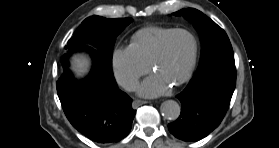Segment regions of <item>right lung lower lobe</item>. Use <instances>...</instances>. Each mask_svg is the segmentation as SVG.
Listing matches in <instances>:
<instances>
[{
  "instance_id": "1",
  "label": "right lung lower lobe",
  "mask_w": 279,
  "mask_h": 148,
  "mask_svg": "<svg viewBox=\"0 0 279 148\" xmlns=\"http://www.w3.org/2000/svg\"><path fill=\"white\" fill-rule=\"evenodd\" d=\"M66 48L87 50L94 62L90 75L77 82L67 68V55L62 58L65 71L57 81V94L67 119L94 142L122 140L130 132L136 114L131 98L118 89L112 68L107 67L97 50L83 43L67 45Z\"/></svg>"
}]
</instances>
